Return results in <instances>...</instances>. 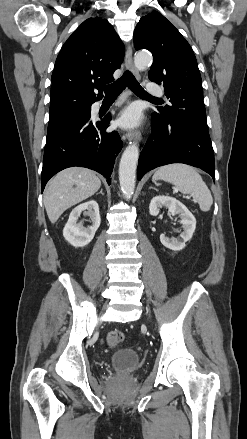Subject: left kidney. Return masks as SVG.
Here are the masks:
<instances>
[{"label": "left kidney", "instance_id": "left-kidney-1", "mask_svg": "<svg viewBox=\"0 0 247 439\" xmlns=\"http://www.w3.org/2000/svg\"><path fill=\"white\" fill-rule=\"evenodd\" d=\"M162 207L168 208V213L172 215L178 214L180 216V223L182 224L183 231L181 232L179 239H169L164 234H161L160 241L165 247L173 251H180L186 246V242L192 238L196 228V219L188 208L179 200L164 195L155 196L151 200L149 205L150 215L157 216Z\"/></svg>", "mask_w": 247, "mask_h": 439}]
</instances>
